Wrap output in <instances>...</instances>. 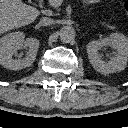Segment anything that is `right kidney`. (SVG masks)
Masks as SVG:
<instances>
[{
	"label": "right kidney",
	"mask_w": 128,
	"mask_h": 128,
	"mask_svg": "<svg viewBox=\"0 0 128 128\" xmlns=\"http://www.w3.org/2000/svg\"><path fill=\"white\" fill-rule=\"evenodd\" d=\"M39 40L36 38L25 39L21 31L8 33L0 38V64L11 70H20L33 64L39 48ZM22 46L29 48L26 57L13 59L14 53Z\"/></svg>",
	"instance_id": "1"
}]
</instances>
